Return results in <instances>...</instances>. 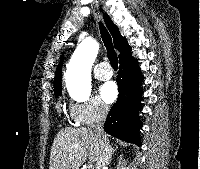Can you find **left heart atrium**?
I'll use <instances>...</instances> for the list:
<instances>
[{
    "label": "left heart atrium",
    "mask_w": 200,
    "mask_h": 169,
    "mask_svg": "<svg viewBox=\"0 0 200 169\" xmlns=\"http://www.w3.org/2000/svg\"><path fill=\"white\" fill-rule=\"evenodd\" d=\"M100 94L101 98L106 103H112L118 95L116 84L114 82H107L103 84L100 88Z\"/></svg>",
    "instance_id": "left-heart-atrium-1"
}]
</instances>
